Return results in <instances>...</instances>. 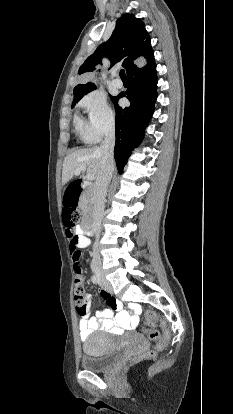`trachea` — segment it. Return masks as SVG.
<instances>
[{"mask_svg":"<svg viewBox=\"0 0 233 414\" xmlns=\"http://www.w3.org/2000/svg\"><path fill=\"white\" fill-rule=\"evenodd\" d=\"M120 77H121V79H128L127 76H126V74H125V70L124 69H121L120 70Z\"/></svg>","mask_w":233,"mask_h":414,"instance_id":"1","label":"trachea"}]
</instances>
